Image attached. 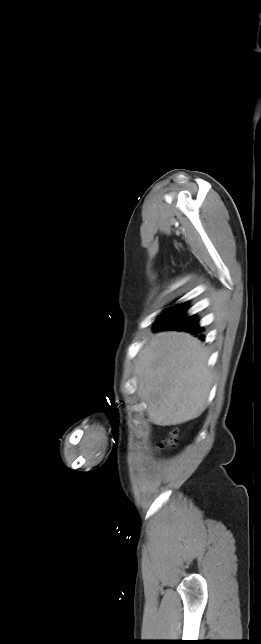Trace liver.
I'll use <instances>...</instances> for the list:
<instances>
[{"mask_svg": "<svg viewBox=\"0 0 261 644\" xmlns=\"http://www.w3.org/2000/svg\"><path fill=\"white\" fill-rule=\"evenodd\" d=\"M208 358L201 341L188 333L158 332L148 338L134 373L153 424L178 425L204 412L212 384Z\"/></svg>", "mask_w": 261, "mask_h": 644, "instance_id": "6515ba94", "label": "liver"}]
</instances>
